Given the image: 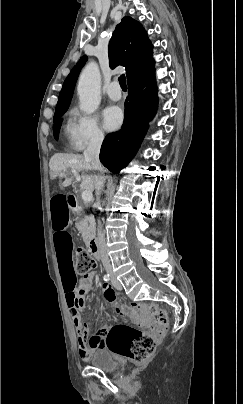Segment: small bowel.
<instances>
[{
    "label": "small bowel",
    "mask_w": 243,
    "mask_h": 404,
    "mask_svg": "<svg viewBox=\"0 0 243 404\" xmlns=\"http://www.w3.org/2000/svg\"><path fill=\"white\" fill-rule=\"evenodd\" d=\"M68 195L63 192L55 193L50 200V216L53 230V240L62 276L66 303L72 323L77 332L79 355L83 360L91 358L97 350L105 347L103 336L93 335L88 338V325L83 323L79 311L85 305V296L91 289L95 274L88 273L78 282L72 260V238L68 231ZM105 300L110 303L115 312L123 314L124 309L116 304V293L107 284L103 287Z\"/></svg>",
    "instance_id": "obj_1"
}]
</instances>
